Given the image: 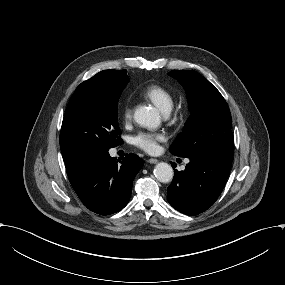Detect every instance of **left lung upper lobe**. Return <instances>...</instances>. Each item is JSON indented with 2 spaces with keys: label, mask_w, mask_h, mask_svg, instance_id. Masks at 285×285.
<instances>
[{
  "label": "left lung upper lobe",
  "mask_w": 285,
  "mask_h": 285,
  "mask_svg": "<svg viewBox=\"0 0 285 285\" xmlns=\"http://www.w3.org/2000/svg\"><path fill=\"white\" fill-rule=\"evenodd\" d=\"M168 74L185 88L191 112L170 152L186 158L209 153L232 157L231 114L220 92L196 71L172 70Z\"/></svg>",
  "instance_id": "1"
}]
</instances>
